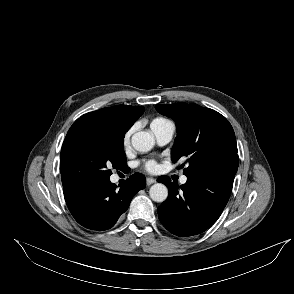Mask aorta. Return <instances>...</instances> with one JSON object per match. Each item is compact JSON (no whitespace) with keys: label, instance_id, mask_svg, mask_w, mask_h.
I'll use <instances>...</instances> for the list:
<instances>
[{"label":"aorta","instance_id":"obj_1","mask_svg":"<svg viewBox=\"0 0 294 294\" xmlns=\"http://www.w3.org/2000/svg\"><path fill=\"white\" fill-rule=\"evenodd\" d=\"M132 146L139 152H148L154 146L153 136L145 131L135 133L131 138ZM150 197L155 202H163L168 197V189L162 183H156L149 190Z\"/></svg>","mask_w":294,"mask_h":294}]
</instances>
